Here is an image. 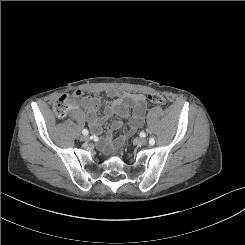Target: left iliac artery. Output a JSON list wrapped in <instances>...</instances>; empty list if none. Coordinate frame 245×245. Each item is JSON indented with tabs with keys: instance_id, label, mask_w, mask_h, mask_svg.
Wrapping results in <instances>:
<instances>
[{
	"instance_id": "obj_1",
	"label": "left iliac artery",
	"mask_w": 245,
	"mask_h": 245,
	"mask_svg": "<svg viewBox=\"0 0 245 245\" xmlns=\"http://www.w3.org/2000/svg\"><path fill=\"white\" fill-rule=\"evenodd\" d=\"M149 144L150 145H154L155 144V139L153 137H150Z\"/></svg>"
}]
</instances>
